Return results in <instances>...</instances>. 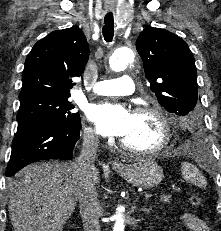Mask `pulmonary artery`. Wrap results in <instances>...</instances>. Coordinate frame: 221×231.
Returning <instances> with one entry per match:
<instances>
[{
    "label": "pulmonary artery",
    "mask_w": 221,
    "mask_h": 231,
    "mask_svg": "<svg viewBox=\"0 0 221 231\" xmlns=\"http://www.w3.org/2000/svg\"><path fill=\"white\" fill-rule=\"evenodd\" d=\"M134 81L129 75L118 79L103 80L96 83L93 92L98 95L124 96L133 93Z\"/></svg>",
    "instance_id": "e3ab8cb5"
}]
</instances>
